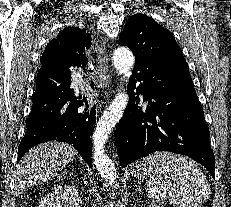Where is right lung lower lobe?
<instances>
[{"mask_svg": "<svg viewBox=\"0 0 231 207\" xmlns=\"http://www.w3.org/2000/svg\"><path fill=\"white\" fill-rule=\"evenodd\" d=\"M67 30L86 34L85 29L76 27H68ZM89 82L94 89L93 82ZM70 84L69 68L59 65L41 66L32 96V110L26 120L27 132L18 149V162L33 146L57 140L72 144L85 162L92 166L90 135L96 121V107L88 105L91 101L89 98L87 101L86 98L77 97Z\"/></svg>", "mask_w": 231, "mask_h": 207, "instance_id": "1", "label": "right lung lower lobe"}]
</instances>
